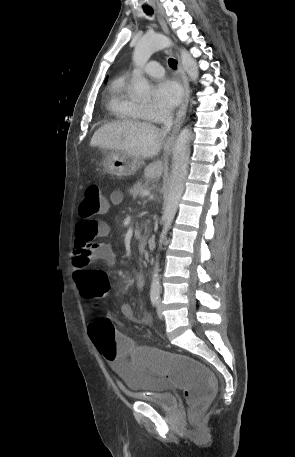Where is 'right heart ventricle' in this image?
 Returning a JSON list of instances; mask_svg holds the SVG:
<instances>
[{"label":"right heart ventricle","instance_id":"obj_1","mask_svg":"<svg viewBox=\"0 0 295 457\" xmlns=\"http://www.w3.org/2000/svg\"><path fill=\"white\" fill-rule=\"evenodd\" d=\"M128 82L115 80L108 88L107 106L113 116L121 121L136 122L143 120L141 106L128 94Z\"/></svg>","mask_w":295,"mask_h":457}]
</instances>
